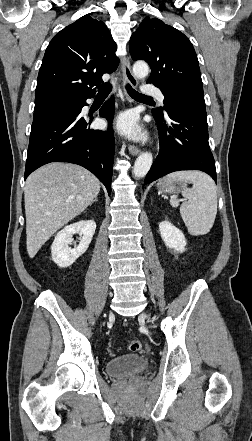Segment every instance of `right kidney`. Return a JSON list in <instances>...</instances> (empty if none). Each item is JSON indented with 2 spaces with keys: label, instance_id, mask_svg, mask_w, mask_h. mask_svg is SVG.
I'll return each instance as SVG.
<instances>
[{
  "label": "right kidney",
  "instance_id": "1",
  "mask_svg": "<svg viewBox=\"0 0 252 441\" xmlns=\"http://www.w3.org/2000/svg\"><path fill=\"white\" fill-rule=\"evenodd\" d=\"M96 230V223L93 220L79 221L65 226L57 233L51 246L52 260L61 268L71 266L89 247ZM80 233L79 245L70 248L73 241V234Z\"/></svg>",
  "mask_w": 252,
  "mask_h": 441
}]
</instances>
